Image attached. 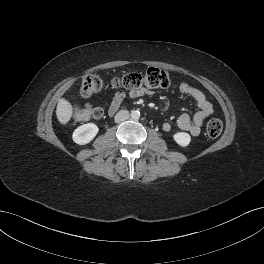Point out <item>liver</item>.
<instances>
[{"label":"liver","instance_id":"1","mask_svg":"<svg viewBox=\"0 0 264 264\" xmlns=\"http://www.w3.org/2000/svg\"><path fill=\"white\" fill-rule=\"evenodd\" d=\"M73 114V107L69 101L64 98L59 99L56 109L57 119L61 124H66L70 121Z\"/></svg>","mask_w":264,"mask_h":264}]
</instances>
